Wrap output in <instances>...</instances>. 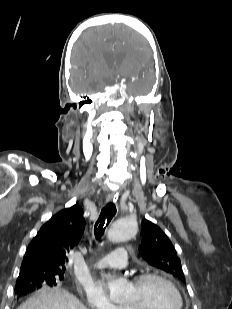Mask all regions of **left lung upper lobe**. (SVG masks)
Masks as SVG:
<instances>
[{"instance_id": "1", "label": "left lung upper lobe", "mask_w": 232, "mask_h": 309, "mask_svg": "<svg viewBox=\"0 0 232 309\" xmlns=\"http://www.w3.org/2000/svg\"><path fill=\"white\" fill-rule=\"evenodd\" d=\"M141 226L143 237L139 247L141 256L151 266L184 281L180 258L166 234L157 225L146 219L142 221Z\"/></svg>"}]
</instances>
